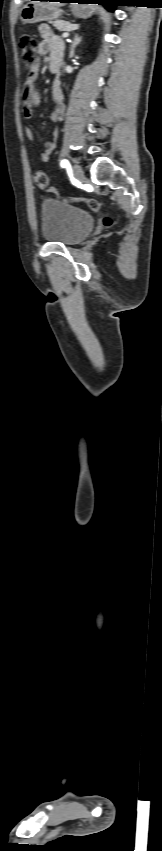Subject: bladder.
I'll return each instance as SVG.
<instances>
[{"label":"bladder","instance_id":"obj_1","mask_svg":"<svg viewBox=\"0 0 162 851\" xmlns=\"http://www.w3.org/2000/svg\"><path fill=\"white\" fill-rule=\"evenodd\" d=\"M93 226V216L79 207L50 197L41 203V235L48 242L78 244Z\"/></svg>","mask_w":162,"mask_h":851}]
</instances>
